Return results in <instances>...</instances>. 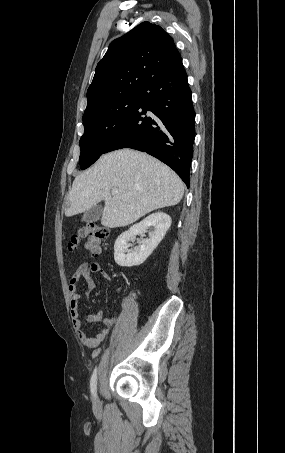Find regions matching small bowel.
<instances>
[{
  "instance_id": "small-bowel-1",
  "label": "small bowel",
  "mask_w": 285,
  "mask_h": 453,
  "mask_svg": "<svg viewBox=\"0 0 285 453\" xmlns=\"http://www.w3.org/2000/svg\"><path fill=\"white\" fill-rule=\"evenodd\" d=\"M96 273H99L104 280L109 281L111 279L110 275L106 271H104L98 263L83 262L80 265H78L75 271L73 272L68 285L73 326L82 344L89 349L97 348L101 344V342L106 338V336L116 323L115 318H106L103 312L99 311L92 315H89L86 318V321L88 323L100 322L103 324L102 329L96 335H90L83 328V324L80 319L79 313L80 295L78 294V283L81 279L85 280L87 285V290L85 294L88 297L91 294V292L96 288V283L92 277V275Z\"/></svg>"
}]
</instances>
